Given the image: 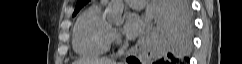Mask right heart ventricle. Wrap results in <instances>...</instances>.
Masks as SVG:
<instances>
[{
    "mask_svg": "<svg viewBox=\"0 0 242 64\" xmlns=\"http://www.w3.org/2000/svg\"><path fill=\"white\" fill-rule=\"evenodd\" d=\"M110 24L104 18L101 4L88 7L76 20L72 33V46L84 58L103 55L110 46Z\"/></svg>",
    "mask_w": 242,
    "mask_h": 64,
    "instance_id": "e07e8e85",
    "label": "right heart ventricle"
}]
</instances>
